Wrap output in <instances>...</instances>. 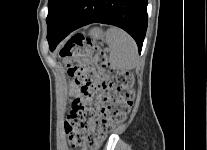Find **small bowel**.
Here are the masks:
<instances>
[{
	"instance_id": "obj_1",
	"label": "small bowel",
	"mask_w": 207,
	"mask_h": 150,
	"mask_svg": "<svg viewBox=\"0 0 207 150\" xmlns=\"http://www.w3.org/2000/svg\"><path fill=\"white\" fill-rule=\"evenodd\" d=\"M71 94H72L73 96H79V95H80V91H79V88H78V85H77V84H74V85L72 86Z\"/></svg>"
}]
</instances>
